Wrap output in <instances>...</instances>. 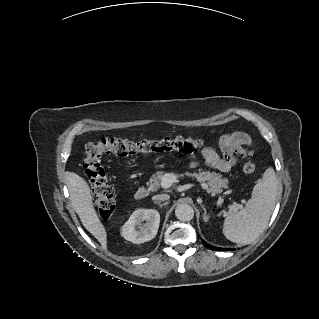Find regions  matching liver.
<instances>
[{"instance_id": "1", "label": "liver", "mask_w": 319, "mask_h": 319, "mask_svg": "<svg viewBox=\"0 0 319 319\" xmlns=\"http://www.w3.org/2000/svg\"><path fill=\"white\" fill-rule=\"evenodd\" d=\"M67 185L74 210L83 226L106 248L107 232L93 205V196L87 182L76 173H69Z\"/></svg>"}]
</instances>
